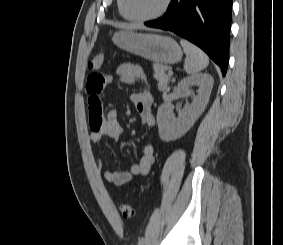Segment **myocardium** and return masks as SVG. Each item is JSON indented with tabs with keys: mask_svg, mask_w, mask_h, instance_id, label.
Wrapping results in <instances>:
<instances>
[{
	"mask_svg": "<svg viewBox=\"0 0 283 245\" xmlns=\"http://www.w3.org/2000/svg\"><path fill=\"white\" fill-rule=\"evenodd\" d=\"M171 3H172V0H164L161 8L156 13L150 16H146V17H134V16L129 15L127 12V8H126V0H121V9H122L124 18H126L127 20L134 21V22H149V21H153V20H156L162 17L168 11Z\"/></svg>",
	"mask_w": 283,
	"mask_h": 245,
	"instance_id": "myocardium-1",
	"label": "myocardium"
}]
</instances>
